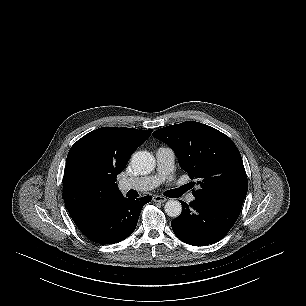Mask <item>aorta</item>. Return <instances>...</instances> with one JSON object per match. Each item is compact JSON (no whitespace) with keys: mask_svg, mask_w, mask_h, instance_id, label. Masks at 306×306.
<instances>
[{"mask_svg":"<svg viewBox=\"0 0 306 306\" xmlns=\"http://www.w3.org/2000/svg\"><path fill=\"white\" fill-rule=\"evenodd\" d=\"M133 169L141 175L151 173L155 168V158L147 151H138L131 159ZM165 213L172 218L178 217L182 212V205L179 201L168 200L164 206Z\"/></svg>","mask_w":306,"mask_h":306,"instance_id":"obj_1","label":"aorta"}]
</instances>
